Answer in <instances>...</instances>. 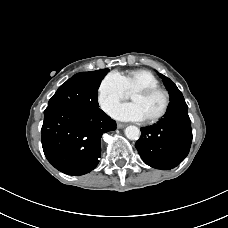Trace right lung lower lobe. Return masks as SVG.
Instances as JSON below:
<instances>
[{
	"label": "right lung lower lobe",
	"instance_id": "right-lung-lower-lobe-1",
	"mask_svg": "<svg viewBox=\"0 0 228 228\" xmlns=\"http://www.w3.org/2000/svg\"><path fill=\"white\" fill-rule=\"evenodd\" d=\"M116 122L101 109L75 110L47 107L42 126V147L48 161L68 175H83L99 163L103 133Z\"/></svg>",
	"mask_w": 228,
	"mask_h": 228
}]
</instances>
